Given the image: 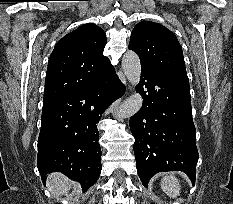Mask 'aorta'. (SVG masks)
I'll use <instances>...</instances> for the list:
<instances>
[{
	"label": "aorta",
	"mask_w": 233,
	"mask_h": 204,
	"mask_svg": "<svg viewBox=\"0 0 233 204\" xmlns=\"http://www.w3.org/2000/svg\"><path fill=\"white\" fill-rule=\"evenodd\" d=\"M122 69L128 81L136 87L141 76V63L138 55L133 51H127L122 58ZM143 103L142 96L134 92L115 111L117 119L129 118L136 114Z\"/></svg>",
	"instance_id": "obj_1"
}]
</instances>
